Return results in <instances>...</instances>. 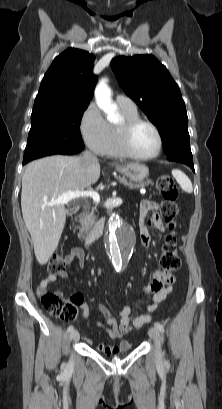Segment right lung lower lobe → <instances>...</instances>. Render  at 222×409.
I'll return each mask as SVG.
<instances>
[{"mask_svg": "<svg viewBox=\"0 0 222 409\" xmlns=\"http://www.w3.org/2000/svg\"><path fill=\"white\" fill-rule=\"evenodd\" d=\"M83 148H84V146L80 147V148L78 149L77 153L80 152ZM28 162H29V161H28ZM28 162H23V165H25V164L28 163Z\"/></svg>", "mask_w": 222, "mask_h": 409, "instance_id": "obj_1", "label": "right lung lower lobe"}]
</instances>
